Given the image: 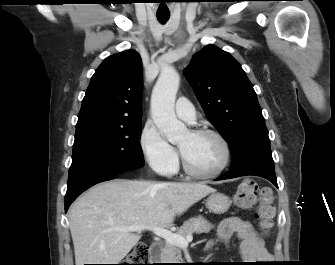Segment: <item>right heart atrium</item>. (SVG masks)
I'll return each instance as SVG.
<instances>
[{
    "instance_id": "obj_1",
    "label": "right heart atrium",
    "mask_w": 335,
    "mask_h": 265,
    "mask_svg": "<svg viewBox=\"0 0 335 265\" xmlns=\"http://www.w3.org/2000/svg\"><path fill=\"white\" fill-rule=\"evenodd\" d=\"M140 148L146 162L155 172L164 176L175 172L178 164L177 154L151 121L142 129Z\"/></svg>"
}]
</instances>
